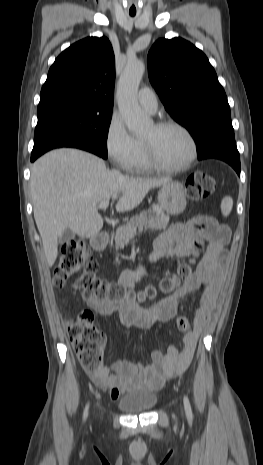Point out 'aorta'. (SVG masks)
Returning a JSON list of instances; mask_svg holds the SVG:
<instances>
[{"instance_id": "1", "label": "aorta", "mask_w": 263, "mask_h": 465, "mask_svg": "<svg viewBox=\"0 0 263 465\" xmlns=\"http://www.w3.org/2000/svg\"><path fill=\"white\" fill-rule=\"evenodd\" d=\"M145 71L142 61H129L119 79L117 102L127 128L134 134L142 133L150 123L149 117L141 110L137 92Z\"/></svg>"}]
</instances>
